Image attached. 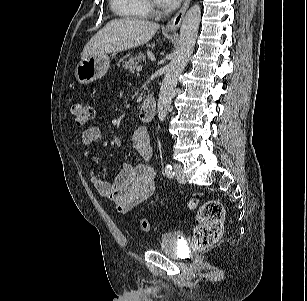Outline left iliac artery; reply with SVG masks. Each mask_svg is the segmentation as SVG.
Wrapping results in <instances>:
<instances>
[{
    "mask_svg": "<svg viewBox=\"0 0 307 301\" xmlns=\"http://www.w3.org/2000/svg\"><path fill=\"white\" fill-rule=\"evenodd\" d=\"M165 173H166L167 177L173 178L174 171H173V168H172L171 164H169V163L166 164V166H165Z\"/></svg>",
    "mask_w": 307,
    "mask_h": 301,
    "instance_id": "1",
    "label": "left iliac artery"
}]
</instances>
